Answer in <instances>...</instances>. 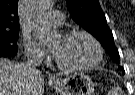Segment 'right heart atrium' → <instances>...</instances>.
Instances as JSON below:
<instances>
[{"label": "right heart atrium", "mask_w": 135, "mask_h": 95, "mask_svg": "<svg viewBox=\"0 0 135 95\" xmlns=\"http://www.w3.org/2000/svg\"><path fill=\"white\" fill-rule=\"evenodd\" d=\"M24 49L28 58L42 59L45 57V52L30 37H24Z\"/></svg>", "instance_id": "d8ad5b80"}]
</instances>
